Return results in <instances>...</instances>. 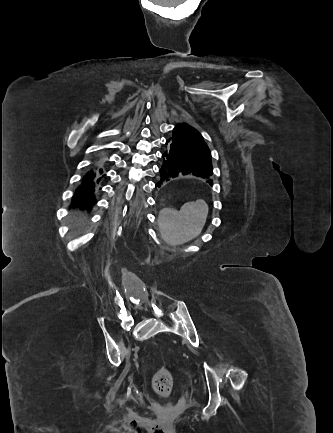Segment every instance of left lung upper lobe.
Instances as JSON below:
<instances>
[{
    "instance_id": "1",
    "label": "left lung upper lobe",
    "mask_w": 333,
    "mask_h": 433,
    "mask_svg": "<svg viewBox=\"0 0 333 433\" xmlns=\"http://www.w3.org/2000/svg\"><path fill=\"white\" fill-rule=\"evenodd\" d=\"M168 141H175L186 147L199 157L211 162V153L202 135L186 123L177 124Z\"/></svg>"
}]
</instances>
